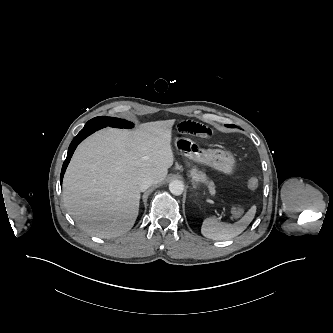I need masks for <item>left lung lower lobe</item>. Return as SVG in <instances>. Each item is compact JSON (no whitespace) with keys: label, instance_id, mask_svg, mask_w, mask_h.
<instances>
[{"label":"left lung lower lobe","instance_id":"0a47b994","mask_svg":"<svg viewBox=\"0 0 333 333\" xmlns=\"http://www.w3.org/2000/svg\"><path fill=\"white\" fill-rule=\"evenodd\" d=\"M228 127H235L234 125H227Z\"/></svg>","mask_w":333,"mask_h":333}]
</instances>
